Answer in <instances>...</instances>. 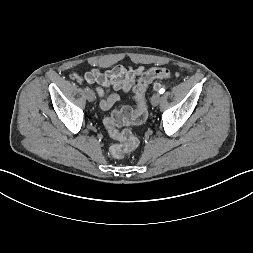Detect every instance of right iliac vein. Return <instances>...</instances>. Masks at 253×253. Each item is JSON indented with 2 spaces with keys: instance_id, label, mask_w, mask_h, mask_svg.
Here are the masks:
<instances>
[{
  "instance_id": "obj_1",
  "label": "right iliac vein",
  "mask_w": 253,
  "mask_h": 253,
  "mask_svg": "<svg viewBox=\"0 0 253 253\" xmlns=\"http://www.w3.org/2000/svg\"><path fill=\"white\" fill-rule=\"evenodd\" d=\"M87 100L93 102L95 100V93L92 90L87 91L86 93Z\"/></svg>"
}]
</instances>
